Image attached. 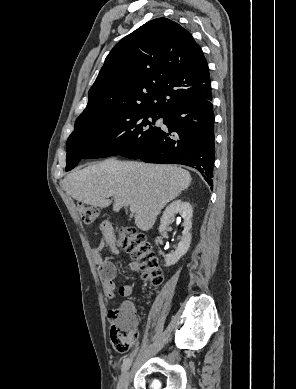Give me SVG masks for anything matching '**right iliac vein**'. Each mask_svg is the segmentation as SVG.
Instances as JSON below:
<instances>
[{
  "label": "right iliac vein",
  "mask_w": 296,
  "mask_h": 389,
  "mask_svg": "<svg viewBox=\"0 0 296 389\" xmlns=\"http://www.w3.org/2000/svg\"><path fill=\"white\" fill-rule=\"evenodd\" d=\"M130 378V372L126 371L119 380L117 389H127Z\"/></svg>",
  "instance_id": "1"
}]
</instances>
